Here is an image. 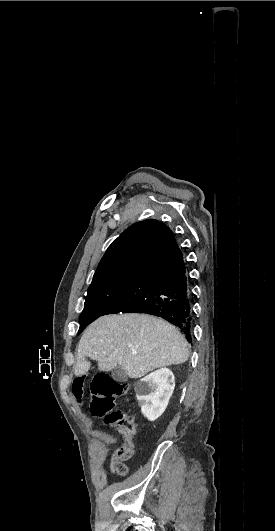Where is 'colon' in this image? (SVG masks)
I'll return each instance as SVG.
<instances>
[{"mask_svg": "<svg viewBox=\"0 0 275 531\" xmlns=\"http://www.w3.org/2000/svg\"><path fill=\"white\" fill-rule=\"evenodd\" d=\"M130 390L129 384L109 376L101 371L95 374L89 386L91 402L90 412L94 417L103 418L107 426H114L122 436L123 442L116 448L112 468L125 475L128 471L124 461L129 456V446L135 431V415L116 408V402ZM68 393L72 400L80 402L88 394V375L79 374L68 380Z\"/></svg>", "mask_w": 275, "mask_h": 531, "instance_id": "obj_1", "label": "colon"}]
</instances>
